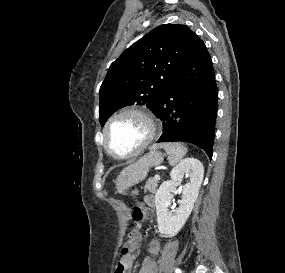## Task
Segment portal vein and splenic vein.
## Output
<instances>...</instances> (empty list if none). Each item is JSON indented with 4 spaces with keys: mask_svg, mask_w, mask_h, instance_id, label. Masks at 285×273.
Instances as JSON below:
<instances>
[{
    "mask_svg": "<svg viewBox=\"0 0 285 273\" xmlns=\"http://www.w3.org/2000/svg\"><path fill=\"white\" fill-rule=\"evenodd\" d=\"M154 179L159 180L160 176L158 174H155Z\"/></svg>",
    "mask_w": 285,
    "mask_h": 273,
    "instance_id": "1",
    "label": "portal vein and splenic vein"
}]
</instances>
